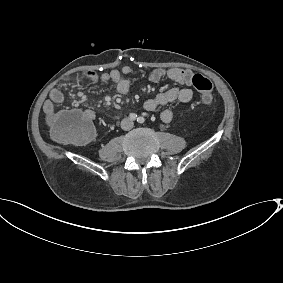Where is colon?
<instances>
[{
	"label": "colon",
	"mask_w": 283,
	"mask_h": 283,
	"mask_svg": "<svg viewBox=\"0 0 283 283\" xmlns=\"http://www.w3.org/2000/svg\"><path fill=\"white\" fill-rule=\"evenodd\" d=\"M192 85L200 93L204 104L212 102L213 85L201 74H195ZM50 131L56 139L75 145L86 144L94 136L91 118L80 110H65L49 117Z\"/></svg>",
	"instance_id": "obj_1"
}]
</instances>
